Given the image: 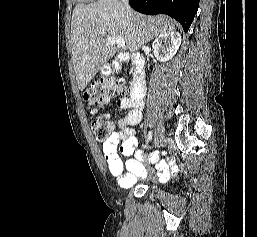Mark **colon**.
I'll return each instance as SVG.
<instances>
[{
    "mask_svg": "<svg viewBox=\"0 0 257 237\" xmlns=\"http://www.w3.org/2000/svg\"><path fill=\"white\" fill-rule=\"evenodd\" d=\"M122 92H124V87L117 79L101 77L91 85L84 95L86 102L94 111L91 127L98 141L107 142L111 138L113 124L107 114L97 112V109H100L111 97Z\"/></svg>",
    "mask_w": 257,
    "mask_h": 237,
    "instance_id": "1",
    "label": "colon"
}]
</instances>
